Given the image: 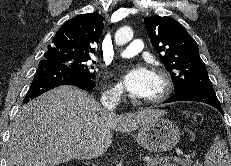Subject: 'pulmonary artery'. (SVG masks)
<instances>
[{
	"label": "pulmonary artery",
	"instance_id": "pulmonary-artery-1",
	"mask_svg": "<svg viewBox=\"0 0 231 166\" xmlns=\"http://www.w3.org/2000/svg\"><path fill=\"white\" fill-rule=\"evenodd\" d=\"M144 48V43L140 39H135L129 43V45L120 52V55L124 58H130L140 53Z\"/></svg>",
	"mask_w": 231,
	"mask_h": 166
}]
</instances>
